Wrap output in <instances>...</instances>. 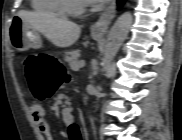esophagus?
I'll use <instances>...</instances> for the list:
<instances>
[{
  "mask_svg": "<svg viewBox=\"0 0 182 140\" xmlns=\"http://www.w3.org/2000/svg\"><path fill=\"white\" fill-rule=\"evenodd\" d=\"M116 15V2L111 1L106 9L102 12L99 19L92 26L91 32L95 35H104L107 33L109 26Z\"/></svg>",
  "mask_w": 182,
  "mask_h": 140,
  "instance_id": "34e87169",
  "label": "esophagus"
}]
</instances>
